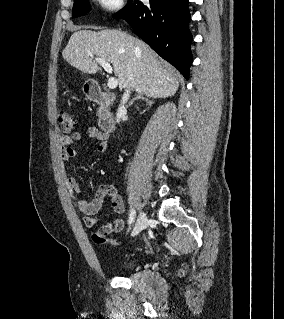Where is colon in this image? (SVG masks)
I'll return each mask as SVG.
<instances>
[{"label": "colon", "instance_id": "obj_1", "mask_svg": "<svg viewBox=\"0 0 284 319\" xmlns=\"http://www.w3.org/2000/svg\"><path fill=\"white\" fill-rule=\"evenodd\" d=\"M57 114L58 121L63 132H71L76 127L77 120L75 115L71 111L67 110L64 107H60ZM92 238L96 243L111 245L117 244L115 240L101 237L97 233H93Z\"/></svg>", "mask_w": 284, "mask_h": 319}]
</instances>
